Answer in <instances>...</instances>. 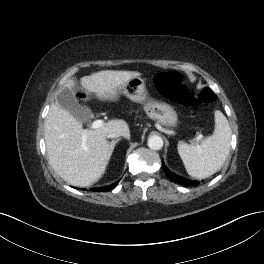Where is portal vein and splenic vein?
<instances>
[{
	"mask_svg": "<svg viewBox=\"0 0 264 264\" xmlns=\"http://www.w3.org/2000/svg\"><path fill=\"white\" fill-rule=\"evenodd\" d=\"M103 125V121L102 120H95L92 124H91V128L92 129H97L100 128Z\"/></svg>",
	"mask_w": 264,
	"mask_h": 264,
	"instance_id": "1",
	"label": "portal vein and splenic vein"
}]
</instances>
